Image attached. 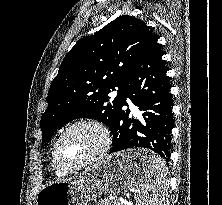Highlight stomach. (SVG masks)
Instances as JSON below:
<instances>
[{
    "instance_id": "obj_1",
    "label": "stomach",
    "mask_w": 222,
    "mask_h": 205,
    "mask_svg": "<svg viewBox=\"0 0 222 205\" xmlns=\"http://www.w3.org/2000/svg\"><path fill=\"white\" fill-rule=\"evenodd\" d=\"M148 150L124 151L111 155L77 178L45 185L38 193L36 205H87L97 192L123 194L143 181L144 157Z\"/></svg>"
}]
</instances>
